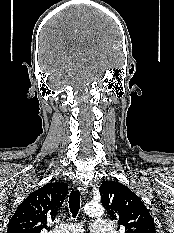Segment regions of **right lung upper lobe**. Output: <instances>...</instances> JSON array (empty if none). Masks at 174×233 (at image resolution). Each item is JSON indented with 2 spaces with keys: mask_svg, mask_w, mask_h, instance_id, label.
<instances>
[{
  "mask_svg": "<svg viewBox=\"0 0 174 233\" xmlns=\"http://www.w3.org/2000/svg\"><path fill=\"white\" fill-rule=\"evenodd\" d=\"M67 192V183H48L30 193L17 207L7 233H40L49 229L47 222L55 219Z\"/></svg>",
  "mask_w": 174,
  "mask_h": 233,
  "instance_id": "right-lung-upper-lobe-1",
  "label": "right lung upper lobe"
}]
</instances>
